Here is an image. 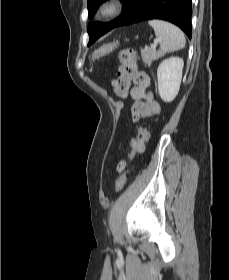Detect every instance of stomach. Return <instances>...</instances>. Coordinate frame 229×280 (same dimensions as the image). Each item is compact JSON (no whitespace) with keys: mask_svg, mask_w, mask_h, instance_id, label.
<instances>
[{"mask_svg":"<svg viewBox=\"0 0 229 280\" xmlns=\"http://www.w3.org/2000/svg\"><path fill=\"white\" fill-rule=\"evenodd\" d=\"M117 45H118V41L103 45L92 54V60L94 61L95 59H99L100 57L110 53L117 47Z\"/></svg>","mask_w":229,"mask_h":280,"instance_id":"0dacf381","label":"stomach"}]
</instances>
